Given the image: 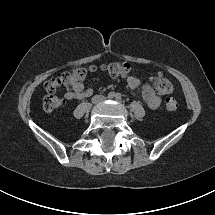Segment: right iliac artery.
Here are the masks:
<instances>
[{"mask_svg":"<svg viewBox=\"0 0 215 215\" xmlns=\"http://www.w3.org/2000/svg\"><path fill=\"white\" fill-rule=\"evenodd\" d=\"M114 96H115V93H114V92H110V93L108 94V98H109V99L114 98Z\"/></svg>","mask_w":215,"mask_h":215,"instance_id":"82829eb1","label":"right iliac artery"}]
</instances>
